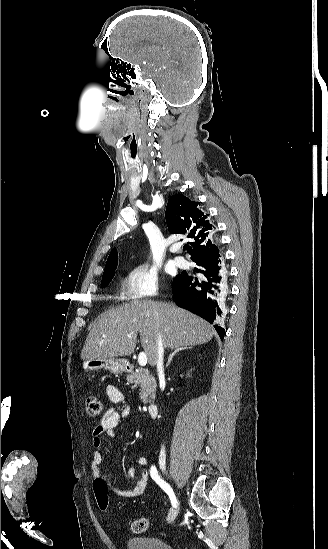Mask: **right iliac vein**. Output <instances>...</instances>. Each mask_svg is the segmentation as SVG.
I'll return each mask as SVG.
<instances>
[{
  "label": "right iliac vein",
  "instance_id": "right-iliac-vein-1",
  "mask_svg": "<svg viewBox=\"0 0 328 549\" xmlns=\"http://www.w3.org/2000/svg\"><path fill=\"white\" fill-rule=\"evenodd\" d=\"M161 469H162V471L166 472V467H165L164 463L161 464ZM179 510H180V506L178 504L175 507V509L168 516V523L169 524L172 523L176 519V517L178 516Z\"/></svg>",
  "mask_w": 328,
  "mask_h": 549
}]
</instances>
